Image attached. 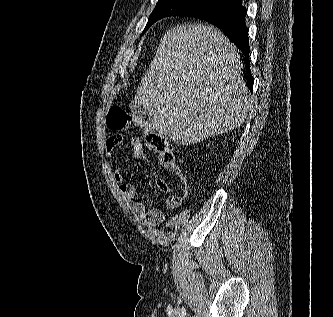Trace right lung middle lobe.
Masks as SVG:
<instances>
[{
	"label": "right lung middle lobe",
	"instance_id": "right-lung-middle-lobe-1",
	"mask_svg": "<svg viewBox=\"0 0 333 317\" xmlns=\"http://www.w3.org/2000/svg\"><path fill=\"white\" fill-rule=\"evenodd\" d=\"M228 0H159L144 32L156 21L169 16H195L228 5Z\"/></svg>",
	"mask_w": 333,
	"mask_h": 317
}]
</instances>
